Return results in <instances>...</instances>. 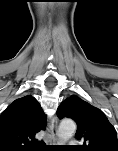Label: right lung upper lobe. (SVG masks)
Masks as SVG:
<instances>
[{
	"label": "right lung upper lobe",
	"mask_w": 118,
	"mask_h": 151,
	"mask_svg": "<svg viewBox=\"0 0 118 151\" xmlns=\"http://www.w3.org/2000/svg\"><path fill=\"white\" fill-rule=\"evenodd\" d=\"M46 121L35 98L27 95L16 99L0 115V151L35 149V135L45 130Z\"/></svg>",
	"instance_id": "1"
}]
</instances>
